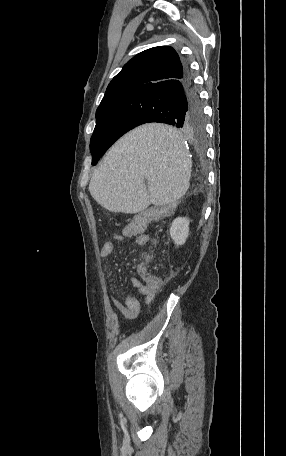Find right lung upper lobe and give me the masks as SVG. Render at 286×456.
<instances>
[{"instance_id": "right-lung-upper-lobe-1", "label": "right lung upper lobe", "mask_w": 286, "mask_h": 456, "mask_svg": "<svg viewBox=\"0 0 286 456\" xmlns=\"http://www.w3.org/2000/svg\"><path fill=\"white\" fill-rule=\"evenodd\" d=\"M184 70L185 68L173 48L159 46L145 50L128 61L113 78L100 106L131 96L151 85L181 77Z\"/></svg>"}]
</instances>
